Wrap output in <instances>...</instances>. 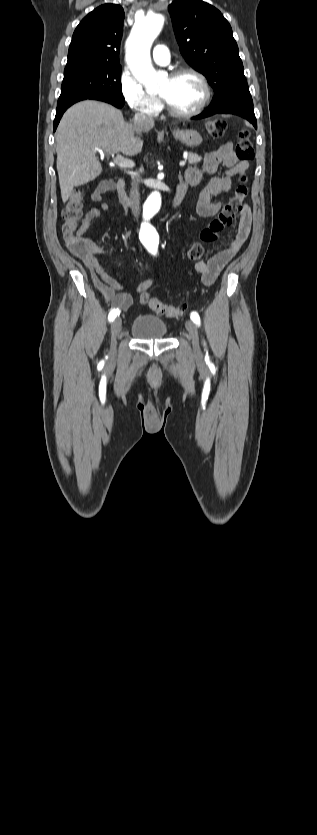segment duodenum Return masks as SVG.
Segmentation results:
<instances>
[{"label":"duodenum","mask_w":317,"mask_h":835,"mask_svg":"<svg viewBox=\"0 0 317 835\" xmlns=\"http://www.w3.org/2000/svg\"><path fill=\"white\" fill-rule=\"evenodd\" d=\"M106 185H107L106 186L107 190L109 192H113L122 204H126V205L131 204L130 198H129L127 192H126L125 182H124L123 179H119L117 182L107 181ZM184 193H185V187L182 184H180L177 187L176 192H175L174 197H173V200H172V207L173 208H176L180 204Z\"/></svg>","instance_id":"obj_1"}]
</instances>
